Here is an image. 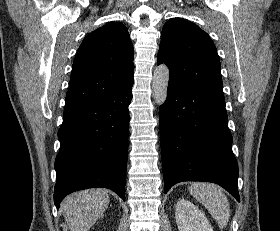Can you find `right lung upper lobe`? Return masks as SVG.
Returning a JSON list of instances; mask_svg holds the SVG:
<instances>
[{
	"label": "right lung upper lobe",
	"mask_w": 280,
	"mask_h": 231,
	"mask_svg": "<svg viewBox=\"0 0 280 231\" xmlns=\"http://www.w3.org/2000/svg\"><path fill=\"white\" fill-rule=\"evenodd\" d=\"M133 58L123 24L109 22L88 34L74 58L65 109L132 89Z\"/></svg>",
	"instance_id": "obj_1"
}]
</instances>
